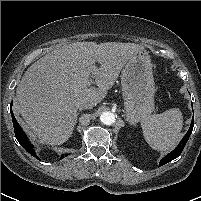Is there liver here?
<instances>
[{"mask_svg":"<svg viewBox=\"0 0 201 201\" xmlns=\"http://www.w3.org/2000/svg\"><path fill=\"white\" fill-rule=\"evenodd\" d=\"M143 46L135 43L76 42L46 54L25 72L16 90L17 110L43 143L60 145L75 125L78 103H100L120 71ZM96 87H89L92 66Z\"/></svg>","mask_w":201,"mask_h":201,"instance_id":"1","label":"liver"}]
</instances>
